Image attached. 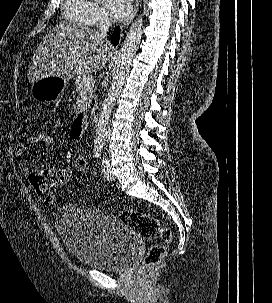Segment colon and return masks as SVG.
Returning a JSON list of instances; mask_svg holds the SVG:
<instances>
[{
  "label": "colon",
  "mask_w": 272,
  "mask_h": 303,
  "mask_svg": "<svg viewBox=\"0 0 272 303\" xmlns=\"http://www.w3.org/2000/svg\"><path fill=\"white\" fill-rule=\"evenodd\" d=\"M37 135V144L47 151L55 150L57 139L47 131L39 132ZM74 167L79 173H85L87 170V161L83 156H77L74 159ZM38 197L47 207H53L56 204V197L51 192H38ZM120 220L132 228L140 237L152 239L159 237L161 243L150 246L140 268L139 275H146L155 265H157L166 254V244L171 240V230L162 225L160 221L149 214L141 213L134 210H122L119 212Z\"/></svg>",
  "instance_id": "5ec220e1"
}]
</instances>
